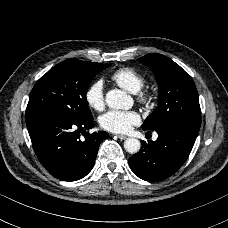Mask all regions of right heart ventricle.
<instances>
[{"instance_id":"1","label":"right heart ventricle","mask_w":228,"mask_h":228,"mask_svg":"<svg viewBox=\"0 0 228 228\" xmlns=\"http://www.w3.org/2000/svg\"><path fill=\"white\" fill-rule=\"evenodd\" d=\"M111 79L130 93H137L145 85L144 76L131 67H121L115 70Z\"/></svg>"}]
</instances>
